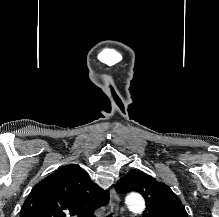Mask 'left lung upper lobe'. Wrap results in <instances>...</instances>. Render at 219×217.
<instances>
[{"label":"left lung upper lobe","mask_w":219,"mask_h":217,"mask_svg":"<svg viewBox=\"0 0 219 217\" xmlns=\"http://www.w3.org/2000/svg\"><path fill=\"white\" fill-rule=\"evenodd\" d=\"M116 191L139 192L146 200L143 217H188L180 199L166 184L139 170L123 176L116 184Z\"/></svg>","instance_id":"1"}]
</instances>
